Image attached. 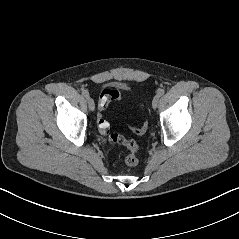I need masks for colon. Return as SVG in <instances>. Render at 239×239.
<instances>
[{
  "label": "colon",
  "instance_id": "5ec220e1",
  "mask_svg": "<svg viewBox=\"0 0 239 239\" xmlns=\"http://www.w3.org/2000/svg\"><path fill=\"white\" fill-rule=\"evenodd\" d=\"M120 99V93L111 88H106L102 91L100 98H99V117H98V128L100 132L107 136L109 141L114 144L123 145L127 148L128 152L124 155V162L128 166H134L139 161V152H138V146L136 142L133 140H128L124 136L117 134V133H111L110 132V125L109 122L104 118V110L109 104L110 101ZM147 129V121H144L143 124L138 128H130L131 132L136 135H142L145 133Z\"/></svg>",
  "mask_w": 239,
  "mask_h": 239
}]
</instances>
